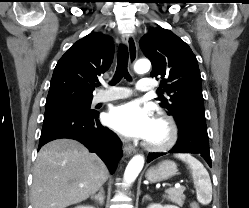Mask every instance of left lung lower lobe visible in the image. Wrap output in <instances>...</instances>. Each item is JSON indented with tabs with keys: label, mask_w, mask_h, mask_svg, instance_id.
<instances>
[{
	"label": "left lung lower lobe",
	"mask_w": 249,
	"mask_h": 208,
	"mask_svg": "<svg viewBox=\"0 0 249 208\" xmlns=\"http://www.w3.org/2000/svg\"><path fill=\"white\" fill-rule=\"evenodd\" d=\"M178 140L169 153H198L211 167L209 140L205 117L196 114H186L176 120ZM166 153H149L147 161L165 155Z\"/></svg>",
	"instance_id": "left-lung-lower-lobe-1"
}]
</instances>
